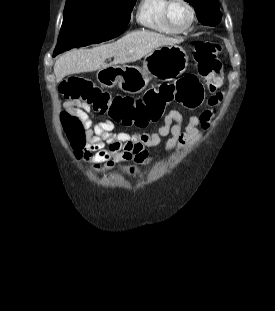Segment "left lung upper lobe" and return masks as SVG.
I'll return each mask as SVG.
<instances>
[{
  "mask_svg": "<svg viewBox=\"0 0 275 311\" xmlns=\"http://www.w3.org/2000/svg\"><path fill=\"white\" fill-rule=\"evenodd\" d=\"M194 7L198 20L203 25L215 26L222 17L218 0H185Z\"/></svg>",
  "mask_w": 275,
  "mask_h": 311,
  "instance_id": "obj_1",
  "label": "left lung upper lobe"
}]
</instances>
